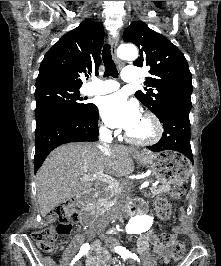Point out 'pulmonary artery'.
<instances>
[{"instance_id": "pulmonary-artery-1", "label": "pulmonary artery", "mask_w": 221, "mask_h": 266, "mask_svg": "<svg viewBox=\"0 0 221 266\" xmlns=\"http://www.w3.org/2000/svg\"><path fill=\"white\" fill-rule=\"evenodd\" d=\"M141 77V69L135 65H128L124 68L122 79L125 82H138ZM119 88V84L113 80H103L96 83L87 90L89 95H103L113 92Z\"/></svg>"}]
</instances>
